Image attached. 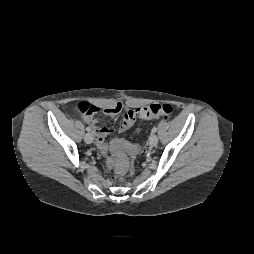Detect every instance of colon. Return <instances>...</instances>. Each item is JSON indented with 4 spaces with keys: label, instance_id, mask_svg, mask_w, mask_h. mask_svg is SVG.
Here are the masks:
<instances>
[{
    "label": "colon",
    "instance_id": "colon-1",
    "mask_svg": "<svg viewBox=\"0 0 254 254\" xmlns=\"http://www.w3.org/2000/svg\"><path fill=\"white\" fill-rule=\"evenodd\" d=\"M76 109L79 111L81 115L86 117H91L93 114L96 113V107L85 102L79 103L76 106ZM172 112L173 107L170 104L166 103L149 104L146 106L138 107L133 110V113L136 117L143 119H155V118L167 119L171 116ZM123 144H124L123 142H119V147L122 146ZM118 168L121 173H124L126 169L125 163L120 162Z\"/></svg>",
    "mask_w": 254,
    "mask_h": 254
}]
</instances>
